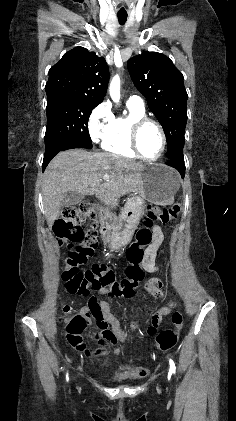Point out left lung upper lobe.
Here are the masks:
<instances>
[{
    "mask_svg": "<svg viewBox=\"0 0 236 421\" xmlns=\"http://www.w3.org/2000/svg\"><path fill=\"white\" fill-rule=\"evenodd\" d=\"M128 70L136 88L166 135L167 159L183 158L187 122V92L182 73L170 58L145 51L128 60Z\"/></svg>",
    "mask_w": 236,
    "mask_h": 421,
    "instance_id": "obj_1",
    "label": "left lung upper lobe"
}]
</instances>
